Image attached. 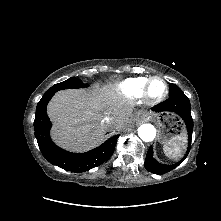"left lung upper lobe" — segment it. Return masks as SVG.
I'll return each instance as SVG.
<instances>
[{
    "mask_svg": "<svg viewBox=\"0 0 221 221\" xmlns=\"http://www.w3.org/2000/svg\"><path fill=\"white\" fill-rule=\"evenodd\" d=\"M177 95H184V93L177 85L171 83L169 85V97Z\"/></svg>",
    "mask_w": 221,
    "mask_h": 221,
    "instance_id": "5c2ea615",
    "label": "left lung upper lobe"
}]
</instances>
